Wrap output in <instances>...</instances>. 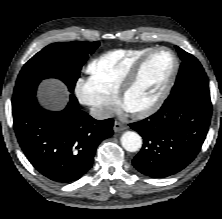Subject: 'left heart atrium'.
<instances>
[{
	"mask_svg": "<svg viewBox=\"0 0 222 219\" xmlns=\"http://www.w3.org/2000/svg\"><path fill=\"white\" fill-rule=\"evenodd\" d=\"M125 110H126V111H129L126 107H125Z\"/></svg>",
	"mask_w": 222,
	"mask_h": 219,
	"instance_id": "1",
	"label": "left heart atrium"
}]
</instances>
